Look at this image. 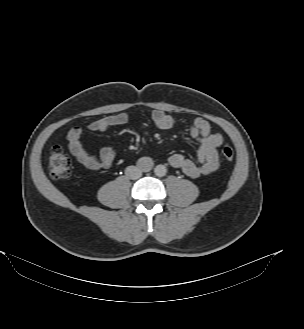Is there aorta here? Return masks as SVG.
<instances>
[{
  "label": "aorta",
  "mask_w": 304,
  "mask_h": 329,
  "mask_svg": "<svg viewBox=\"0 0 304 329\" xmlns=\"http://www.w3.org/2000/svg\"><path fill=\"white\" fill-rule=\"evenodd\" d=\"M167 172V169L164 165H157L155 168H154V173L156 176L158 177H163Z\"/></svg>",
  "instance_id": "762f6f07"
}]
</instances>
